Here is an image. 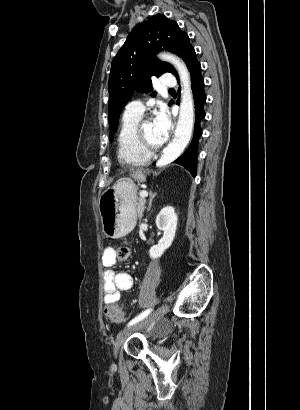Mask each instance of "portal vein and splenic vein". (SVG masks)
<instances>
[{"label": "portal vein and splenic vein", "instance_id": "obj_1", "mask_svg": "<svg viewBox=\"0 0 300 410\" xmlns=\"http://www.w3.org/2000/svg\"><path fill=\"white\" fill-rule=\"evenodd\" d=\"M140 197L146 198L148 196V192L146 190H142L139 192Z\"/></svg>", "mask_w": 300, "mask_h": 410}]
</instances>
